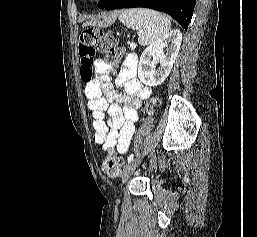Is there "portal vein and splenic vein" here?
<instances>
[{
  "label": "portal vein and splenic vein",
  "instance_id": "portal-vein-and-splenic-vein-1",
  "mask_svg": "<svg viewBox=\"0 0 257 237\" xmlns=\"http://www.w3.org/2000/svg\"><path fill=\"white\" fill-rule=\"evenodd\" d=\"M129 45H130V48H132V49L136 48V44L135 43H129Z\"/></svg>",
  "mask_w": 257,
  "mask_h": 237
}]
</instances>
